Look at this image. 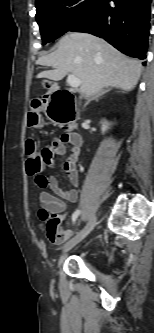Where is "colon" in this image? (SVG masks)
Segmentation results:
<instances>
[{"instance_id":"5ec220e1","label":"colon","mask_w":154,"mask_h":333,"mask_svg":"<svg viewBox=\"0 0 154 333\" xmlns=\"http://www.w3.org/2000/svg\"><path fill=\"white\" fill-rule=\"evenodd\" d=\"M42 107V101L36 99L32 103V111L28 115V124L31 127H37L40 123L39 111ZM64 128L68 129L65 122L58 121ZM26 154V171L30 175L38 174L41 171L43 161L40 152L37 150L35 142L28 139L25 144ZM48 238L54 242L57 241L61 235L59 232L60 219L57 215H43L40 217Z\"/></svg>"}]
</instances>
